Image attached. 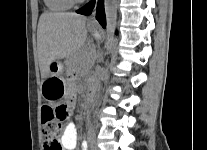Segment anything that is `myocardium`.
I'll return each instance as SVG.
<instances>
[{
	"instance_id": "f54148a6",
	"label": "myocardium",
	"mask_w": 207,
	"mask_h": 150,
	"mask_svg": "<svg viewBox=\"0 0 207 150\" xmlns=\"http://www.w3.org/2000/svg\"><path fill=\"white\" fill-rule=\"evenodd\" d=\"M73 4L83 3L85 0H70Z\"/></svg>"
}]
</instances>
